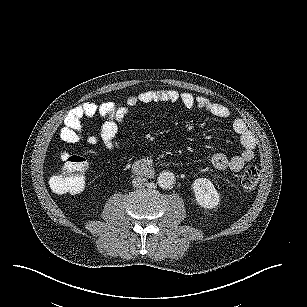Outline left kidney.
Returning a JSON list of instances; mask_svg holds the SVG:
<instances>
[{
  "instance_id": "obj_1",
  "label": "left kidney",
  "mask_w": 307,
  "mask_h": 307,
  "mask_svg": "<svg viewBox=\"0 0 307 307\" xmlns=\"http://www.w3.org/2000/svg\"><path fill=\"white\" fill-rule=\"evenodd\" d=\"M192 188L198 205L206 209L215 208L220 201V195L215 189L213 183L206 178H198Z\"/></svg>"
}]
</instances>
